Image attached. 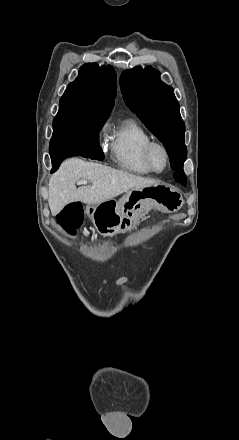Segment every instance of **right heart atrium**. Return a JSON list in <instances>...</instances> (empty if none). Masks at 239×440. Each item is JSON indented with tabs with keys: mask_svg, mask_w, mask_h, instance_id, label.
I'll use <instances>...</instances> for the list:
<instances>
[{
	"mask_svg": "<svg viewBox=\"0 0 239 440\" xmlns=\"http://www.w3.org/2000/svg\"><path fill=\"white\" fill-rule=\"evenodd\" d=\"M103 130H104V127H101V128H100V132H102Z\"/></svg>",
	"mask_w": 239,
	"mask_h": 440,
	"instance_id": "1",
	"label": "right heart atrium"
}]
</instances>
